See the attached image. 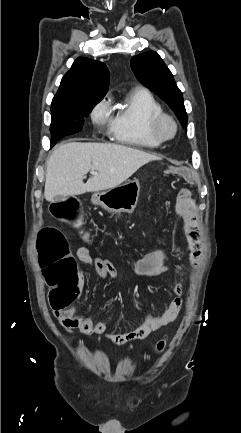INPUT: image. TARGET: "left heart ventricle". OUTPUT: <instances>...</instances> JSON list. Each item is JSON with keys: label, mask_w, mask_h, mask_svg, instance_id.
<instances>
[{"label": "left heart ventricle", "mask_w": 241, "mask_h": 433, "mask_svg": "<svg viewBox=\"0 0 241 433\" xmlns=\"http://www.w3.org/2000/svg\"><path fill=\"white\" fill-rule=\"evenodd\" d=\"M170 130H171V128H170L169 125H166V126L164 127V131H165V133H169Z\"/></svg>", "instance_id": "b2bd125f"}]
</instances>
